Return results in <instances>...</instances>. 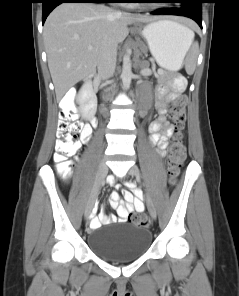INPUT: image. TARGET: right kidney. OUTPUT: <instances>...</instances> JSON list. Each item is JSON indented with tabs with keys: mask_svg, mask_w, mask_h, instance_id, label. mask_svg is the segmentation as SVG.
<instances>
[{
	"mask_svg": "<svg viewBox=\"0 0 239 296\" xmlns=\"http://www.w3.org/2000/svg\"><path fill=\"white\" fill-rule=\"evenodd\" d=\"M76 102L79 105V112L83 119L89 120L94 116L97 109V97L91 81H87L81 87L76 97Z\"/></svg>",
	"mask_w": 239,
	"mask_h": 296,
	"instance_id": "right-kidney-1",
	"label": "right kidney"
}]
</instances>
